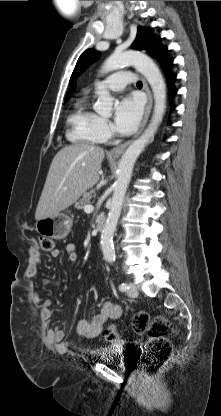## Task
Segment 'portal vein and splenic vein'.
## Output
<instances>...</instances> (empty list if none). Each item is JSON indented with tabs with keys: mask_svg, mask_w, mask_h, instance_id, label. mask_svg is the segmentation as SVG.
<instances>
[{
	"mask_svg": "<svg viewBox=\"0 0 221 416\" xmlns=\"http://www.w3.org/2000/svg\"><path fill=\"white\" fill-rule=\"evenodd\" d=\"M93 206L92 205H86L85 207H84V211L85 212H92L93 211Z\"/></svg>",
	"mask_w": 221,
	"mask_h": 416,
	"instance_id": "1",
	"label": "portal vein and splenic vein"
}]
</instances>
